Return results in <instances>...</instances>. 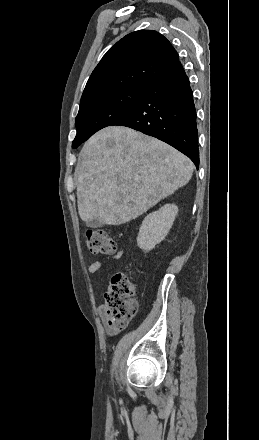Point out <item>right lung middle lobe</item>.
I'll list each match as a JSON object with an SVG mask.
<instances>
[{"instance_id":"obj_1","label":"right lung middle lobe","mask_w":259,"mask_h":440,"mask_svg":"<svg viewBox=\"0 0 259 440\" xmlns=\"http://www.w3.org/2000/svg\"><path fill=\"white\" fill-rule=\"evenodd\" d=\"M147 89L145 87L119 89L80 105L75 121L77 134L72 148H77L95 132L110 126L128 113L143 97Z\"/></svg>"}]
</instances>
